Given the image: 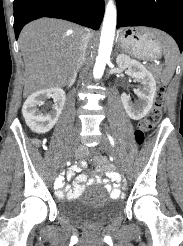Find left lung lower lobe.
Masks as SVG:
<instances>
[{"label":"left lung lower lobe","instance_id":"left-lung-lower-lobe-1","mask_svg":"<svg viewBox=\"0 0 183 246\" xmlns=\"http://www.w3.org/2000/svg\"><path fill=\"white\" fill-rule=\"evenodd\" d=\"M117 28L147 26L170 34L183 50V0H118Z\"/></svg>","mask_w":183,"mask_h":246}]
</instances>
